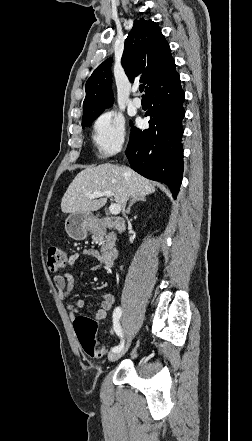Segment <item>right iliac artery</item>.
<instances>
[{"label": "right iliac artery", "instance_id": "obj_1", "mask_svg": "<svg viewBox=\"0 0 252 441\" xmlns=\"http://www.w3.org/2000/svg\"><path fill=\"white\" fill-rule=\"evenodd\" d=\"M121 314H122L121 308L116 307L113 312V327H114L116 334L122 339V341L118 346L112 348V352H119L124 347L123 333H122V329H121L120 322H119Z\"/></svg>", "mask_w": 252, "mask_h": 441}]
</instances>
